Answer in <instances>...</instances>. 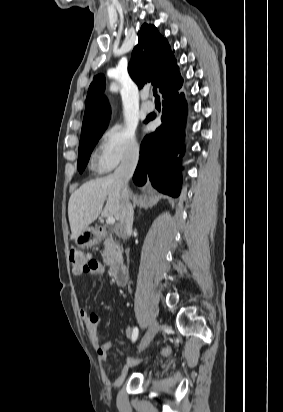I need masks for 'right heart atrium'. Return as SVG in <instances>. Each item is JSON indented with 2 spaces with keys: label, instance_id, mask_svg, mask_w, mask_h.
Listing matches in <instances>:
<instances>
[{
  "label": "right heart atrium",
  "instance_id": "1",
  "mask_svg": "<svg viewBox=\"0 0 283 412\" xmlns=\"http://www.w3.org/2000/svg\"><path fill=\"white\" fill-rule=\"evenodd\" d=\"M140 145L134 130L130 127L115 125L106 130L100 140L97 154V168L110 171L126 160L138 156Z\"/></svg>",
  "mask_w": 283,
  "mask_h": 412
}]
</instances>
